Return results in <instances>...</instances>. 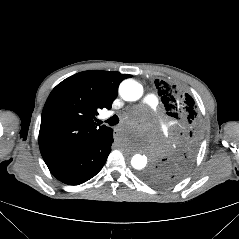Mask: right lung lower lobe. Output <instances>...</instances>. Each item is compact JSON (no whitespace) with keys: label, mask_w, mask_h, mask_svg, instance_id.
I'll return each mask as SVG.
<instances>
[{"label":"right lung lower lobe","mask_w":239,"mask_h":239,"mask_svg":"<svg viewBox=\"0 0 239 239\" xmlns=\"http://www.w3.org/2000/svg\"><path fill=\"white\" fill-rule=\"evenodd\" d=\"M113 141V129L108 128L81 149L46 165L61 182L69 185L82 184L102 169Z\"/></svg>","instance_id":"98d812e1"}]
</instances>
